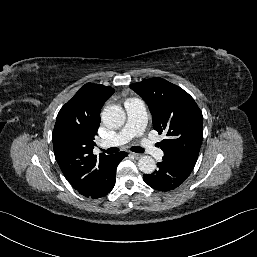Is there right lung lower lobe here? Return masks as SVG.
<instances>
[{
	"mask_svg": "<svg viewBox=\"0 0 257 257\" xmlns=\"http://www.w3.org/2000/svg\"><path fill=\"white\" fill-rule=\"evenodd\" d=\"M127 155L128 154L124 151H121L114 155H110L103 165V169L101 170L98 183L91 192L84 194V196L91 198H100L108 194L115 185L117 165Z\"/></svg>",
	"mask_w": 257,
	"mask_h": 257,
	"instance_id": "obj_1",
	"label": "right lung lower lobe"
}]
</instances>
